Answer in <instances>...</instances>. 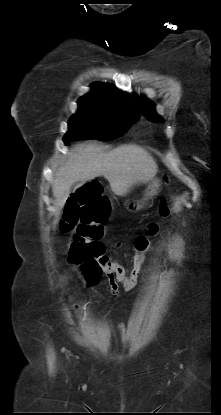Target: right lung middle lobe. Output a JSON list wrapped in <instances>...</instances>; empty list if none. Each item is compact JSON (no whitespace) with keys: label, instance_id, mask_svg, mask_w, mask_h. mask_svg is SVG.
I'll return each mask as SVG.
<instances>
[{"label":"right lung middle lobe","instance_id":"obj_1","mask_svg":"<svg viewBox=\"0 0 221 415\" xmlns=\"http://www.w3.org/2000/svg\"><path fill=\"white\" fill-rule=\"evenodd\" d=\"M78 112L69 122L64 143L85 139L111 140L122 136L140 115L122 108H106L90 104H78Z\"/></svg>","mask_w":221,"mask_h":415}]
</instances>
